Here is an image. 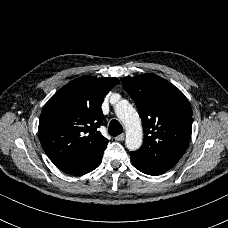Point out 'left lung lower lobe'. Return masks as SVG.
I'll return each mask as SVG.
<instances>
[{
	"label": "left lung lower lobe",
	"instance_id": "left-lung-lower-lobe-1",
	"mask_svg": "<svg viewBox=\"0 0 228 228\" xmlns=\"http://www.w3.org/2000/svg\"><path fill=\"white\" fill-rule=\"evenodd\" d=\"M133 165L141 172L148 174V175H160L165 172H167L169 169L166 168H158L154 166L147 165L145 163H142L134 158L131 157Z\"/></svg>",
	"mask_w": 228,
	"mask_h": 228
}]
</instances>
